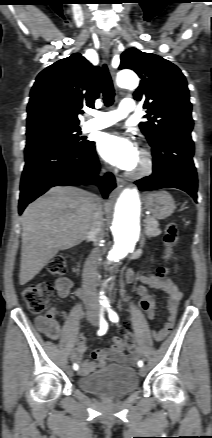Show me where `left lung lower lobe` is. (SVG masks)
Instances as JSON below:
<instances>
[{
	"label": "left lung lower lobe",
	"mask_w": 212,
	"mask_h": 438,
	"mask_svg": "<svg viewBox=\"0 0 212 438\" xmlns=\"http://www.w3.org/2000/svg\"><path fill=\"white\" fill-rule=\"evenodd\" d=\"M152 147L153 174L136 181L141 191L178 188L197 199V173L193 163L194 143L190 134L170 135Z\"/></svg>",
	"instance_id": "0a47b994"
}]
</instances>
